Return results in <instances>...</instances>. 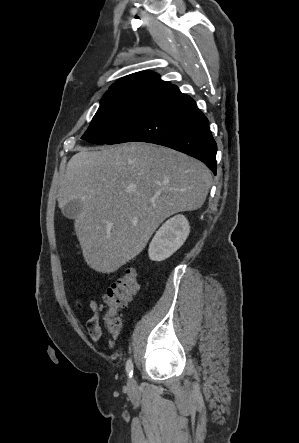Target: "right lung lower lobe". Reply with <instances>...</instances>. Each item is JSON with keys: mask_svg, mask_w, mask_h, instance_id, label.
<instances>
[{"mask_svg": "<svg viewBox=\"0 0 299 443\" xmlns=\"http://www.w3.org/2000/svg\"><path fill=\"white\" fill-rule=\"evenodd\" d=\"M148 142L193 156L216 174L217 146L208 119L176 86L159 96L123 133L108 144Z\"/></svg>", "mask_w": 299, "mask_h": 443, "instance_id": "obj_1", "label": "right lung lower lobe"}]
</instances>
